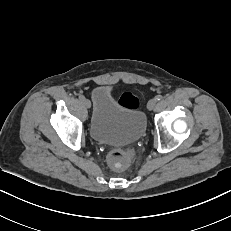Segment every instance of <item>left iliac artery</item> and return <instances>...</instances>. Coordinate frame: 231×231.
Returning a JSON list of instances; mask_svg holds the SVG:
<instances>
[{"instance_id": "1", "label": "left iliac artery", "mask_w": 231, "mask_h": 231, "mask_svg": "<svg viewBox=\"0 0 231 231\" xmlns=\"http://www.w3.org/2000/svg\"><path fill=\"white\" fill-rule=\"evenodd\" d=\"M155 98H156L157 101H160L163 98V96L162 95H157Z\"/></svg>"}]
</instances>
